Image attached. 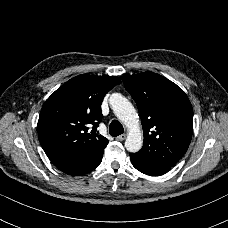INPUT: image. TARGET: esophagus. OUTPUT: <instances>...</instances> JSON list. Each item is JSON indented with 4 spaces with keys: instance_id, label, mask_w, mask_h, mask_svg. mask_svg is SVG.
<instances>
[{
    "instance_id": "obj_1",
    "label": "esophagus",
    "mask_w": 228,
    "mask_h": 228,
    "mask_svg": "<svg viewBox=\"0 0 228 228\" xmlns=\"http://www.w3.org/2000/svg\"><path fill=\"white\" fill-rule=\"evenodd\" d=\"M125 138H126V135L125 134H121V135L117 136L115 139L117 141H123Z\"/></svg>"
}]
</instances>
